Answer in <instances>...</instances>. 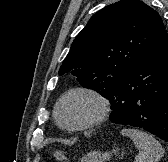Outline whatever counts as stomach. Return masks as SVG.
Masks as SVG:
<instances>
[{
    "mask_svg": "<svg viewBox=\"0 0 168 162\" xmlns=\"http://www.w3.org/2000/svg\"><path fill=\"white\" fill-rule=\"evenodd\" d=\"M119 149H113L111 152L92 151L82 157L80 162H106L112 154H117Z\"/></svg>",
    "mask_w": 168,
    "mask_h": 162,
    "instance_id": "0dacf381",
    "label": "stomach"
}]
</instances>
